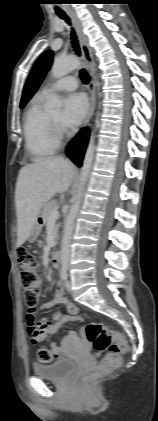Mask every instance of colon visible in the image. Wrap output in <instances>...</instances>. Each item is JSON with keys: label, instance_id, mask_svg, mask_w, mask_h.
Masks as SVG:
<instances>
[{"label": "colon", "instance_id": "obj_1", "mask_svg": "<svg viewBox=\"0 0 158 421\" xmlns=\"http://www.w3.org/2000/svg\"><path fill=\"white\" fill-rule=\"evenodd\" d=\"M18 264L21 270V283L25 291V301L29 307L37 304L40 292V277L37 272V260L25 247L17 250ZM84 335L98 352H107L96 369L84 377L86 384L92 383L98 377L117 368L122 356L128 349L125 338L118 332L99 322H91L85 326ZM41 363H51L55 358L52 350L42 347L37 353Z\"/></svg>", "mask_w": 158, "mask_h": 421}]
</instances>
